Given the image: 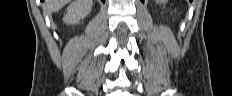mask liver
Returning <instances> with one entry per match:
<instances>
[{
    "label": "liver",
    "instance_id": "6515ba94",
    "mask_svg": "<svg viewBox=\"0 0 232 96\" xmlns=\"http://www.w3.org/2000/svg\"><path fill=\"white\" fill-rule=\"evenodd\" d=\"M70 1L71 0H45L44 8L48 11V13L56 12Z\"/></svg>",
    "mask_w": 232,
    "mask_h": 96
}]
</instances>
